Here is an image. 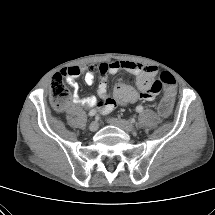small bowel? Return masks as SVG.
<instances>
[{
  "label": "small bowel",
  "instance_id": "c3829d8e",
  "mask_svg": "<svg viewBox=\"0 0 215 215\" xmlns=\"http://www.w3.org/2000/svg\"><path fill=\"white\" fill-rule=\"evenodd\" d=\"M121 70L133 74L136 78L137 88L122 82L116 83L112 94L108 91L107 77ZM158 73V68L153 65H144L133 61H113L91 64L84 66H71L62 69L67 82L73 88L71 102L86 107H98L102 114H109L117 105H127L137 101H153L158 93L151 90L154 79ZM83 75L84 81L92 85L95 76L99 75L100 81L97 89L99 99L95 96L81 97L79 95V85L76 79Z\"/></svg>",
  "mask_w": 215,
  "mask_h": 215
}]
</instances>
